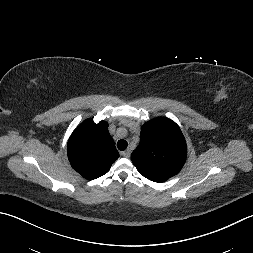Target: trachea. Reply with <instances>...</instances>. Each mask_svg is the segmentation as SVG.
I'll return each instance as SVG.
<instances>
[{
    "label": "trachea",
    "mask_w": 253,
    "mask_h": 253,
    "mask_svg": "<svg viewBox=\"0 0 253 253\" xmlns=\"http://www.w3.org/2000/svg\"><path fill=\"white\" fill-rule=\"evenodd\" d=\"M128 146V143L126 140H119L117 143V147L120 151H124Z\"/></svg>",
    "instance_id": "1"
}]
</instances>
